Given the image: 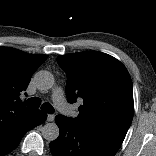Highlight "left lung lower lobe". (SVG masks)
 <instances>
[{
    "label": "left lung lower lobe",
    "instance_id": "obj_1",
    "mask_svg": "<svg viewBox=\"0 0 156 156\" xmlns=\"http://www.w3.org/2000/svg\"><path fill=\"white\" fill-rule=\"evenodd\" d=\"M60 129L59 137L50 143L53 156H114L120 141L104 133L77 127L71 118H55Z\"/></svg>",
    "mask_w": 156,
    "mask_h": 156
}]
</instances>
